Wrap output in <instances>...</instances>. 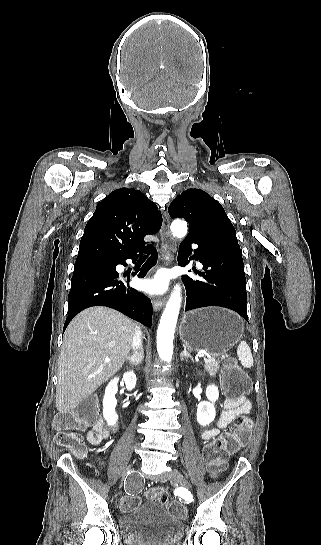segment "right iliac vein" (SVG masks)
<instances>
[{"instance_id": "1", "label": "right iliac vein", "mask_w": 321, "mask_h": 545, "mask_svg": "<svg viewBox=\"0 0 321 545\" xmlns=\"http://www.w3.org/2000/svg\"><path fill=\"white\" fill-rule=\"evenodd\" d=\"M132 470H133L132 467H129V468L127 469V472L124 473V475H123L122 481H123L124 477H127V474H129L130 472H132Z\"/></svg>"}]
</instances>
